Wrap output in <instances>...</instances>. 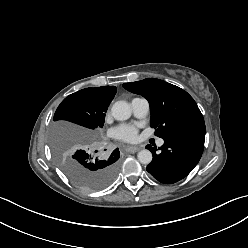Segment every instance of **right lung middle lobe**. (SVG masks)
I'll return each instance as SVG.
<instances>
[{"instance_id": "dd1d6c3e", "label": "right lung middle lobe", "mask_w": 248, "mask_h": 248, "mask_svg": "<svg viewBox=\"0 0 248 248\" xmlns=\"http://www.w3.org/2000/svg\"><path fill=\"white\" fill-rule=\"evenodd\" d=\"M110 104L80 90L67 96L58 106L54 121L66 120L89 129H99L104 125L105 113ZM91 149L77 150L58 148L54 144L55 158L68 178L86 191L106 188L115 179L119 168L118 153L100 156Z\"/></svg>"}]
</instances>
